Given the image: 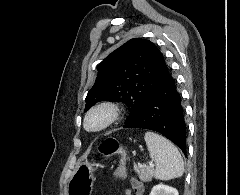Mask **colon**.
I'll return each instance as SVG.
<instances>
[{"label": "colon", "mask_w": 240, "mask_h": 195, "mask_svg": "<svg viewBox=\"0 0 240 195\" xmlns=\"http://www.w3.org/2000/svg\"><path fill=\"white\" fill-rule=\"evenodd\" d=\"M101 153L105 156L113 155L115 153L118 154L120 157L119 159V166L115 168L114 172L118 176H124L125 170H126V164H127V156L125 155V151L122 147H120V144L114 140V139H107L104 141V143L101 146Z\"/></svg>", "instance_id": "1"}]
</instances>
